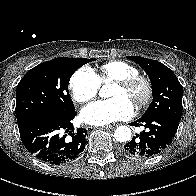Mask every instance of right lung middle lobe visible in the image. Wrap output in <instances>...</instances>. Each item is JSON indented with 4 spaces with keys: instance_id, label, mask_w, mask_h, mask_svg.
<instances>
[{
    "instance_id": "right-lung-middle-lobe-1",
    "label": "right lung middle lobe",
    "mask_w": 196,
    "mask_h": 196,
    "mask_svg": "<svg viewBox=\"0 0 196 196\" xmlns=\"http://www.w3.org/2000/svg\"><path fill=\"white\" fill-rule=\"evenodd\" d=\"M95 59L56 58L29 70L17 85V121L41 111L69 114L75 111L68 92L72 74Z\"/></svg>"
}]
</instances>
